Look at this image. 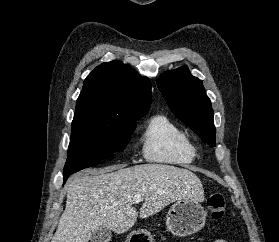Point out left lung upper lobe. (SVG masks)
Listing matches in <instances>:
<instances>
[{"label": "left lung upper lobe", "mask_w": 279, "mask_h": 242, "mask_svg": "<svg viewBox=\"0 0 279 242\" xmlns=\"http://www.w3.org/2000/svg\"><path fill=\"white\" fill-rule=\"evenodd\" d=\"M157 86L174 115L214 146V112L202 81L193 77L187 67H180L163 73Z\"/></svg>", "instance_id": "obj_1"}]
</instances>
